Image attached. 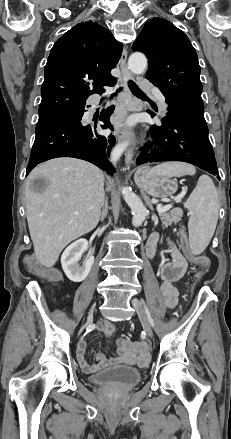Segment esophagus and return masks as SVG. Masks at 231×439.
<instances>
[{
	"instance_id": "1",
	"label": "esophagus",
	"mask_w": 231,
	"mask_h": 439,
	"mask_svg": "<svg viewBox=\"0 0 231 439\" xmlns=\"http://www.w3.org/2000/svg\"><path fill=\"white\" fill-rule=\"evenodd\" d=\"M127 61V49H124L122 52V56L120 59V68L122 71V74L125 78V80H134V77L132 73L130 72L129 68L126 64ZM132 132L131 130L124 129L120 125L115 126V135L118 141H122L124 139H127L131 136ZM133 146H131L125 153V163L127 165H130L133 159Z\"/></svg>"
}]
</instances>
